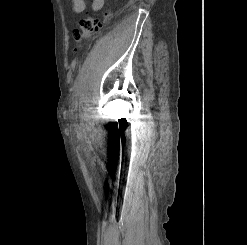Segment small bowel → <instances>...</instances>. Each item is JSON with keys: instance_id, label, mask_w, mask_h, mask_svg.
<instances>
[{"instance_id": "small-bowel-1", "label": "small bowel", "mask_w": 247, "mask_h": 245, "mask_svg": "<svg viewBox=\"0 0 247 245\" xmlns=\"http://www.w3.org/2000/svg\"><path fill=\"white\" fill-rule=\"evenodd\" d=\"M72 11L79 15L83 13L86 9L85 0H71ZM105 0H91V9L94 12L100 11L104 6Z\"/></svg>"}]
</instances>
